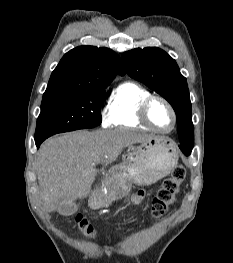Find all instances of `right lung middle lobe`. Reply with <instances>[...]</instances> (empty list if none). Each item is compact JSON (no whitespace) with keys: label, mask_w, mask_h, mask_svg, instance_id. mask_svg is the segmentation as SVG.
<instances>
[{"label":"right lung middle lobe","mask_w":233,"mask_h":263,"mask_svg":"<svg viewBox=\"0 0 233 263\" xmlns=\"http://www.w3.org/2000/svg\"><path fill=\"white\" fill-rule=\"evenodd\" d=\"M104 94L105 90L100 89L43 95L35 141L61 132L98 126Z\"/></svg>","instance_id":"dd1d6c3e"}]
</instances>
